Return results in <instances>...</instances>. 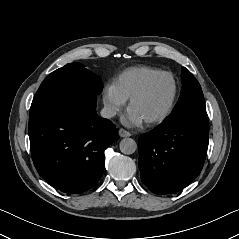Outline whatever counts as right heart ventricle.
I'll use <instances>...</instances> for the list:
<instances>
[{"instance_id":"e07e8e85","label":"right heart ventricle","mask_w":239,"mask_h":239,"mask_svg":"<svg viewBox=\"0 0 239 239\" xmlns=\"http://www.w3.org/2000/svg\"><path fill=\"white\" fill-rule=\"evenodd\" d=\"M157 72L159 70L147 66L131 67L120 73L113 85L118 93L127 100L148 78Z\"/></svg>"}]
</instances>
